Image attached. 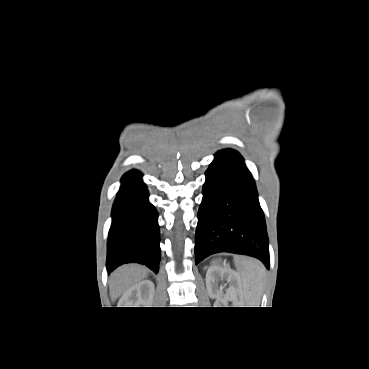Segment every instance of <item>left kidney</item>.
Here are the masks:
<instances>
[{"label": "left kidney", "mask_w": 369, "mask_h": 369, "mask_svg": "<svg viewBox=\"0 0 369 369\" xmlns=\"http://www.w3.org/2000/svg\"><path fill=\"white\" fill-rule=\"evenodd\" d=\"M226 278L227 282L230 284V288L226 294V298L231 300L235 304H241L239 300H241V293L239 286V279L237 274L229 269L219 268V267H211L208 269L206 273V287L208 295L211 298H220L221 291L215 289L214 283L215 278Z\"/></svg>", "instance_id": "5707ae66"}]
</instances>
